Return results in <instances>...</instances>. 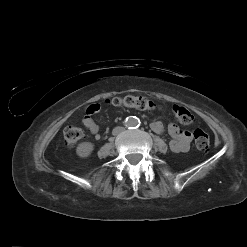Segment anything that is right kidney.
Listing matches in <instances>:
<instances>
[{
  "instance_id": "obj_1",
  "label": "right kidney",
  "mask_w": 247,
  "mask_h": 247,
  "mask_svg": "<svg viewBox=\"0 0 247 247\" xmlns=\"http://www.w3.org/2000/svg\"><path fill=\"white\" fill-rule=\"evenodd\" d=\"M94 150V145L91 142H82L76 148L78 156L85 158L88 157Z\"/></svg>"
}]
</instances>
